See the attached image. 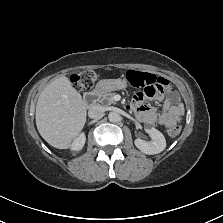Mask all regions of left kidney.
<instances>
[{"instance_id": "5707ae66", "label": "left kidney", "mask_w": 223, "mask_h": 223, "mask_svg": "<svg viewBox=\"0 0 223 223\" xmlns=\"http://www.w3.org/2000/svg\"><path fill=\"white\" fill-rule=\"evenodd\" d=\"M150 135L152 141L146 142L142 139H136V147L145 154L153 155L162 152L166 148V140L163 134L155 128L145 129Z\"/></svg>"}]
</instances>
